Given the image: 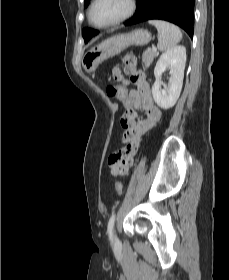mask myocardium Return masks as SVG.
I'll use <instances>...</instances> for the list:
<instances>
[{
  "label": "myocardium",
  "instance_id": "1",
  "mask_svg": "<svg viewBox=\"0 0 229 280\" xmlns=\"http://www.w3.org/2000/svg\"><path fill=\"white\" fill-rule=\"evenodd\" d=\"M99 1L100 0H93L92 4L88 10V21L94 27L101 28V29L115 26V25H118V24L128 20L135 14V12L137 10V0H127V4H128L127 10L121 16H119L107 23H104V24H95L92 21V12H93L94 7L96 6V4Z\"/></svg>",
  "mask_w": 229,
  "mask_h": 280
}]
</instances>
